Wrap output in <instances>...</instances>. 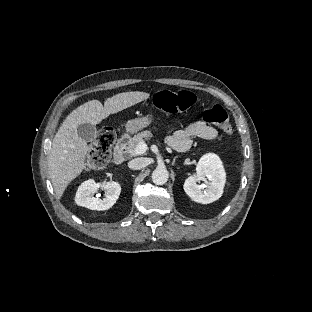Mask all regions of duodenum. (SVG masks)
Instances as JSON below:
<instances>
[{
    "label": "duodenum",
    "instance_id": "1",
    "mask_svg": "<svg viewBox=\"0 0 312 312\" xmlns=\"http://www.w3.org/2000/svg\"><path fill=\"white\" fill-rule=\"evenodd\" d=\"M128 141L129 137L127 134L120 136L116 141L113 149V161L116 165H122L124 163L126 158L125 149Z\"/></svg>",
    "mask_w": 312,
    "mask_h": 312
}]
</instances>
